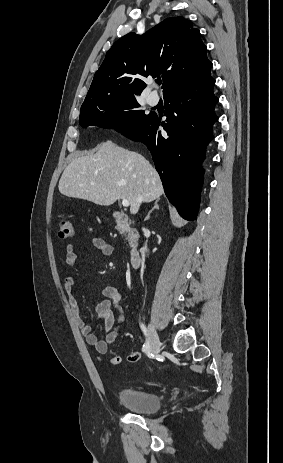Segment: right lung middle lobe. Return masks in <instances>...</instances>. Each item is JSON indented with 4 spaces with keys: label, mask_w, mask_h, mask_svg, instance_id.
I'll use <instances>...</instances> for the list:
<instances>
[{
    "label": "right lung middle lobe",
    "mask_w": 283,
    "mask_h": 463,
    "mask_svg": "<svg viewBox=\"0 0 283 463\" xmlns=\"http://www.w3.org/2000/svg\"><path fill=\"white\" fill-rule=\"evenodd\" d=\"M135 97H110L81 107L79 124L115 128L124 135L137 131L151 114L138 110Z\"/></svg>",
    "instance_id": "obj_1"
}]
</instances>
